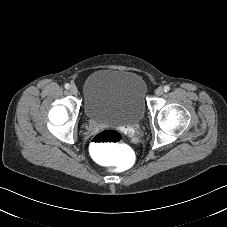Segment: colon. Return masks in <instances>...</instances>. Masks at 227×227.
<instances>
[{"mask_svg": "<svg viewBox=\"0 0 227 227\" xmlns=\"http://www.w3.org/2000/svg\"><path fill=\"white\" fill-rule=\"evenodd\" d=\"M124 140L125 137L122 133L115 130H104L93 137L91 147L101 164L118 173H124L129 167V150Z\"/></svg>", "mask_w": 227, "mask_h": 227, "instance_id": "obj_1", "label": "colon"}]
</instances>
